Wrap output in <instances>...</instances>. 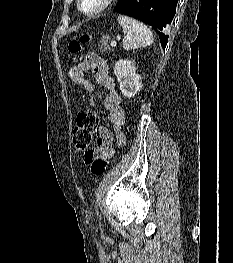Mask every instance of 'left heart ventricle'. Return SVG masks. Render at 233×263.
<instances>
[{
    "mask_svg": "<svg viewBox=\"0 0 233 263\" xmlns=\"http://www.w3.org/2000/svg\"><path fill=\"white\" fill-rule=\"evenodd\" d=\"M101 2L102 0H83L82 7L87 11H92L96 9L101 4Z\"/></svg>",
    "mask_w": 233,
    "mask_h": 263,
    "instance_id": "1",
    "label": "left heart ventricle"
}]
</instances>
